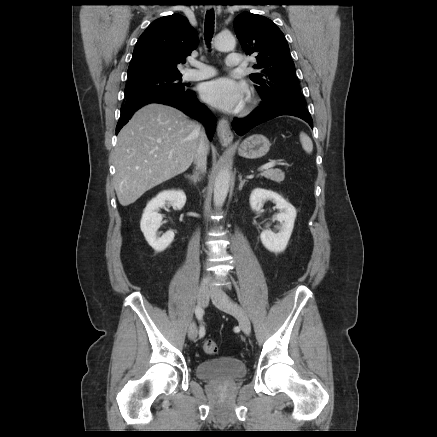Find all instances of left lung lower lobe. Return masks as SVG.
I'll return each mask as SVG.
<instances>
[{"label":"left lung lower lobe","instance_id":"left-lung-lower-lobe-1","mask_svg":"<svg viewBox=\"0 0 437 437\" xmlns=\"http://www.w3.org/2000/svg\"><path fill=\"white\" fill-rule=\"evenodd\" d=\"M281 115L296 116L306 121L313 128V121L305 106L292 103L278 102L269 105H260L247 117L235 119L232 127L240 136L244 135L253 127Z\"/></svg>","mask_w":437,"mask_h":437}]
</instances>
